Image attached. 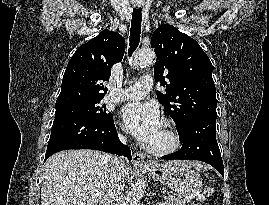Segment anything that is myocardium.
Instances as JSON below:
<instances>
[{"instance_id":"1","label":"myocardium","mask_w":269,"mask_h":205,"mask_svg":"<svg viewBox=\"0 0 269 205\" xmlns=\"http://www.w3.org/2000/svg\"><path fill=\"white\" fill-rule=\"evenodd\" d=\"M163 125L165 126L167 135L169 137L168 144L162 147H153L150 145L146 147V150L155 156H165L171 154L178 150L181 145V138L176 130L174 122L171 119L166 118L163 120Z\"/></svg>"}]
</instances>
